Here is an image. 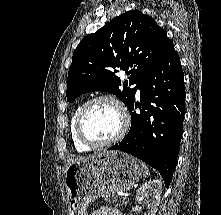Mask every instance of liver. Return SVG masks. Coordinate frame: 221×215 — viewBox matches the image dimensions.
<instances>
[{"mask_svg": "<svg viewBox=\"0 0 221 215\" xmlns=\"http://www.w3.org/2000/svg\"><path fill=\"white\" fill-rule=\"evenodd\" d=\"M96 156V155H95ZM94 156H89V157H84V158H71V159H68L67 162H66V165H65V168H64V173H66V170H67V167L72 164V163H75V162H78V161H81V160H84V159H88V158H92Z\"/></svg>", "mask_w": 221, "mask_h": 215, "instance_id": "liver-1", "label": "liver"}]
</instances>
